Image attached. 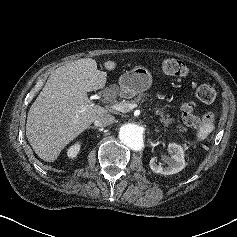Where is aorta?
Masks as SVG:
<instances>
[{"mask_svg":"<svg viewBox=\"0 0 237 237\" xmlns=\"http://www.w3.org/2000/svg\"><path fill=\"white\" fill-rule=\"evenodd\" d=\"M120 140L133 150H139L143 146L142 129L136 124H125L119 130Z\"/></svg>","mask_w":237,"mask_h":237,"instance_id":"aorta-1","label":"aorta"}]
</instances>
